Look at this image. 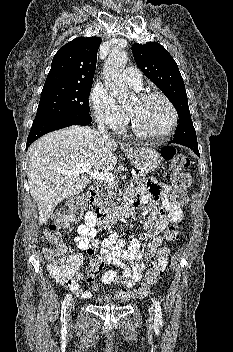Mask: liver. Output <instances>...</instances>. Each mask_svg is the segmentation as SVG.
Wrapping results in <instances>:
<instances>
[{
	"instance_id": "liver-1",
	"label": "liver",
	"mask_w": 233,
	"mask_h": 352,
	"mask_svg": "<svg viewBox=\"0 0 233 352\" xmlns=\"http://www.w3.org/2000/svg\"><path fill=\"white\" fill-rule=\"evenodd\" d=\"M118 144L113 139H103L89 127L70 126L45 135L30 146L27 177L38 206L39 225L50 218L61 201L81 193L89 183L86 175L61 171L89 164L91 171L109 172L117 163L114 152Z\"/></svg>"
}]
</instances>
